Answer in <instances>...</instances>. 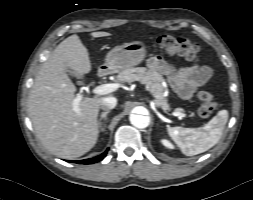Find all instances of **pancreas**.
<instances>
[{
    "label": "pancreas",
    "instance_id": "cf45deb5",
    "mask_svg": "<svg viewBox=\"0 0 253 200\" xmlns=\"http://www.w3.org/2000/svg\"><path fill=\"white\" fill-rule=\"evenodd\" d=\"M118 80L132 83L139 81L144 84L146 89L155 97V103L163 109H168L169 104L167 99L163 96V85L164 81L162 75L156 70L147 69L145 67L128 68L123 70L117 76ZM181 112L182 109H177Z\"/></svg>",
    "mask_w": 253,
    "mask_h": 200
}]
</instances>
